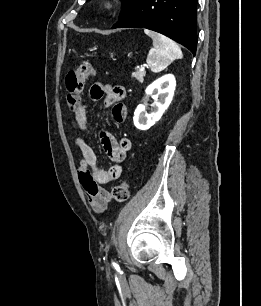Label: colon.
I'll list each match as a JSON object with an SVG mask.
<instances>
[{"label":"colon","mask_w":261,"mask_h":306,"mask_svg":"<svg viewBox=\"0 0 261 306\" xmlns=\"http://www.w3.org/2000/svg\"><path fill=\"white\" fill-rule=\"evenodd\" d=\"M93 74L94 69L88 61L82 62L76 70L67 73L65 77L66 104L70 110L75 111L80 106L84 84ZM129 194L130 187L126 181L119 183L112 190L113 199L119 203L125 202Z\"/></svg>","instance_id":"obj_1"}]
</instances>
